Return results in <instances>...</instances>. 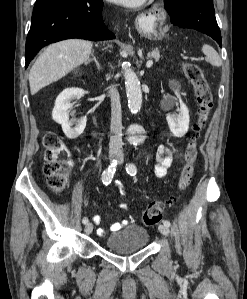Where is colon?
<instances>
[{
  "label": "colon",
  "instance_id": "1",
  "mask_svg": "<svg viewBox=\"0 0 247 299\" xmlns=\"http://www.w3.org/2000/svg\"><path fill=\"white\" fill-rule=\"evenodd\" d=\"M181 68L193 87L197 101V120L193 126V133L184 152V166L178 183L179 192L185 191L192 180L194 163L197 158L198 140L206 123L209 120L213 106V96L210 86L205 79L202 70L194 63L184 62ZM44 174L49 187L56 193L62 192L68 184L69 149L55 132H47L43 138ZM178 197H170L167 200L152 201L141 214V221L146 226L157 224L163 215L167 205L177 201Z\"/></svg>",
  "mask_w": 247,
  "mask_h": 299
}]
</instances>
